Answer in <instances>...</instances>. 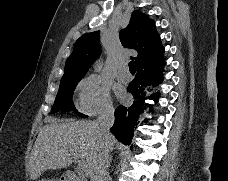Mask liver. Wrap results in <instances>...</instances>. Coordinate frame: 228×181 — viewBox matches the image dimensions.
I'll return each mask as SVG.
<instances>
[{"label":"liver","instance_id":"liver-1","mask_svg":"<svg viewBox=\"0 0 228 181\" xmlns=\"http://www.w3.org/2000/svg\"><path fill=\"white\" fill-rule=\"evenodd\" d=\"M42 127L30 153L29 175L31 181H37L45 171H61L72 163L73 153L91 167V159L101 147L103 141L94 129L93 121H74V119H48ZM109 147L117 141L113 135L105 139Z\"/></svg>","mask_w":228,"mask_h":181}]
</instances>
